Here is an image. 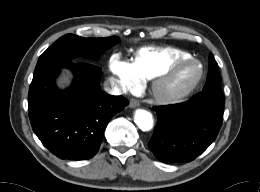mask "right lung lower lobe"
Masks as SVG:
<instances>
[{
    "label": "right lung lower lobe",
    "instance_id": "1",
    "mask_svg": "<svg viewBox=\"0 0 260 192\" xmlns=\"http://www.w3.org/2000/svg\"><path fill=\"white\" fill-rule=\"evenodd\" d=\"M62 67L75 74L72 86L65 91H59L54 83ZM101 73L97 66L71 61L34 73L28 95L30 122L43 145L61 159L92 158L110 119L129 104L124 97L100 89Z\"/></svg>",
    "mask_w": 260,
    "mask_h": 192
}]
</instances>
